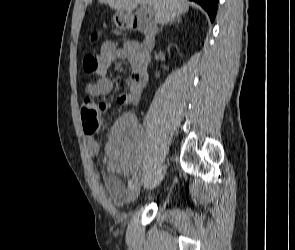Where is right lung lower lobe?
Listing matches in <instances>:
<instances>
[{"label":"right lung lower lobe","instance_id":"obj_1","mask_svg":"<svg viewBox=\"0 0 295 250\" xmlns=\"http://www.w3.org/2000/svg\"><path fill=\"white\" fill-rule=\"evenodd\" d=\"M198 4H200L209 14L211 21L214 20L216 11H217V5L218 0H191Z\"/></svg>","mask_w":295,"mask_h":250}]
</instances>
